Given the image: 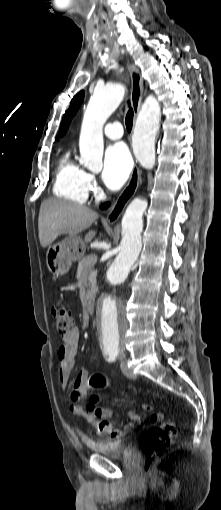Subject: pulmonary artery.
<instances>
[{
    "label": "pulmonary artery",
    "instance_id": "1",
    "mask_svg": "<svg viewBox=\"0 0 221 510\" xmlns=\"http://www.w3.org/2000/svg\"><path fill=\"white\" fill-rule=\"evenodd\" d=\"M104 134L111 140H118L123 135L122 126L117 122L109 123L104 128Z\"/></svg>",
    "mask_w": 221,
    "mask_h": 510
}]
</instances>
